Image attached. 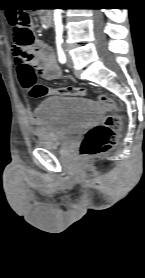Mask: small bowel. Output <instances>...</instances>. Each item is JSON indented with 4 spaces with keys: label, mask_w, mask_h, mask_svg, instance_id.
<instances>
[{
    "label": "small bowel",
    "mask_w": 145,
    "mask_h": 278,
    "mask_svg": "<svg viewBox=\"0 0 145 278\" xmlns=\"http://www.w3.org/2000/svg\"><path fill=\"white\" fill-rule=\"evenodd\" d=\"M11 52L18 69L20 84L24 77L33 75V67L38 68L41 77L45 80L53 81L61 76V69L53 50L39 40L28 48H21L14 42Z\"/></svg>",
    "instance_id": "1"
}]
</instances>
